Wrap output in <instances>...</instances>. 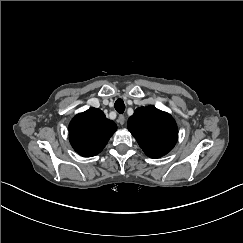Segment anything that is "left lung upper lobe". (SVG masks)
I'll return each mask as SVG.
<instances>
[{
  "label": "left lung upper lobe",
  "instance_id": "left-lung-upper-lobe-1",
  "mask_svg": "<svg viewBox=\"0 0 243 243\" xmlns=\"http://www.w3.org/2000/svg\"><path fill=\"white\" fill-rule=\"evenodd\" d=\"M128 130L151 158H159L170 152L178 137L173 117L152 105L135 110L128 120Z\"/></svg>",
  "mask_w": 243,
  "mask_h": 243
}]
</instances>
